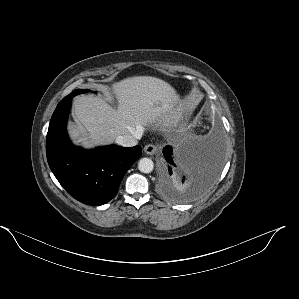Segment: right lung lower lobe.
<instances>
[{"label": "right lung lower lobe", "mask_w": 299, "mask_h": 299, "mask_svg": "<svg viewBox=\"0 0 299 299\" xmlns=\"http://www.w3.org/2000/svg\"><path fill=\"white\" fill-rule=\"evenodd\" d=\"M72 98L62 99L52 115L46 138L48 164L71 196L84 204L102 205L116 195L125 173L142 150L138 145H110L93 150L73 145L66 134Z\"/></svg>", "instance_id": "right-lung-lower-lobe-1"}]
</instances>
